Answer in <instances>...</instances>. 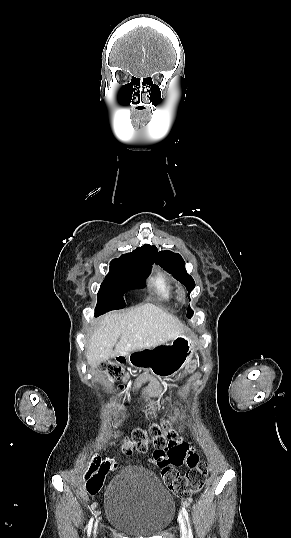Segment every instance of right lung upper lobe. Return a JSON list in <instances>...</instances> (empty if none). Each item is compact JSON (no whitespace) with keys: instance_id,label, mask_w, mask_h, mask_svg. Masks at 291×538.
<instances>
[{"instance_id":"right-lung-upper-lobe-1","label":"right lung upper lobe","mask_w":291,"mask_h":538,"mask_svg":"<svg viewBox=\"0 0 291 538\" xmlns=\"http://www.w3.org/2000/svg\"><path fill=\"white\" fill-rule=\"evenodd\" d=\"M119 259L155 262V247L150 245H144L142 247L136 248L131 253L122 255Z\"/></svg>"}]
</instances>
